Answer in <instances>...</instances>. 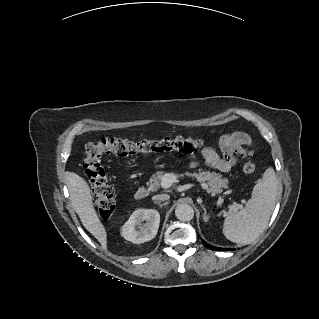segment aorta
<instances>
[{
    "instance_id": "762f6f07",
    "label": "aorta",
    "mask_w": 319,
    "mask_h": 319,
    "mask_svg": "<svg viewBox=\"0 0 319 319\" xmlns=\"http://www.w3.org/2000/svg\"><path fill=\"white\" fill-rule=\"evenodd\" d=\"M175 216L183 222L191 221L194 217V210L189 204L181 203L175 209Z\"/></svg>"
}]
</instances>
